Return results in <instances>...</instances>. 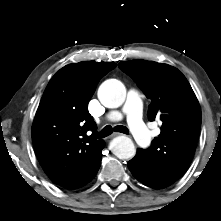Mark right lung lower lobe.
<instances>
[{
  "instance_id": "right-lung-lower-lobe-1",
  "label": "right lung lower lobe",
  "mask_w": 221,
  "mask_h": 221,
  "mask_svg": "<svg viewBox=\"0 0 221 221\" xmlns=\"http://www.w3.org/2000/svg\"><path fill=\"white\" fill-rule=\"evenodd\" d=\"M100 163H101V156H100V159L97 162L96 166L94 167V169L92 170L91 174L89 175V177L87 178V180L84 182L83 185L87 184L88 182H90L93 179V177L96 175V173H97V171H98V169L100 167Z\"/></svg>"
}]
</instances>
